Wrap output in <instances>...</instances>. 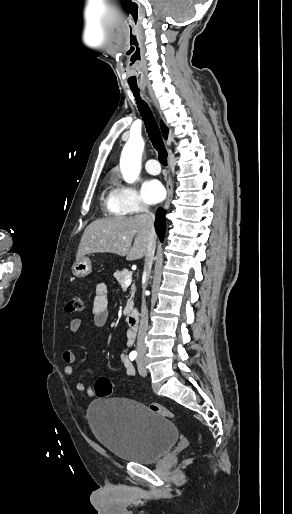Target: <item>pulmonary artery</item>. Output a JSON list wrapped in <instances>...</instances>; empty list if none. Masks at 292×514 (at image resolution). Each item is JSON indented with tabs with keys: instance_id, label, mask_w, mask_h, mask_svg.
<instances>
[{
	"instance_id": "pulmonary-artery-1",
	"label": "pulmonary artery",
	"mask_w": 292,
	"mask_h": 514,
	"mask_svg": "<svg viewBox=\"0 0 292 514\" xmlns=\"http://www.w3.org/2000/svg\"><path fill=\"white\" fill-rule=\"evenodd\" d=\"M148 164H147V171L150 173V174H157L159 169H160V164L157 160L156 157H149L148 158Z\"/></svg>"
}]
</instances>
